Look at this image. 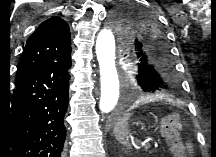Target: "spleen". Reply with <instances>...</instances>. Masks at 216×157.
Returning a JSON list of instances; mask_svg holds the SVG:
<instances>
[{"instance_id":"1","label":"spleen","mask_w":216,"mask_h":157,"mask_svg":"<svg viewBox=\"0 0 216 157\" xmlns=\"http://www.w3.org/2000/svg\"><path fill=\"white\" fill-rule=\"evenodd\" d=\"M131 114H127L122 117L115 125L113 129V134L116 140L127 148L131 147L128 136L130 135V130L128 129V121Z\"/></svg>"}]
</instances>
